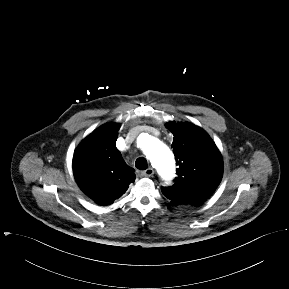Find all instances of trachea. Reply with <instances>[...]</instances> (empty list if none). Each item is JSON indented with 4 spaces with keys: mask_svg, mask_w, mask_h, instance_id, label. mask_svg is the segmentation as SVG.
<instances>
[{
    "mask_svg": "<svg viewBox=\"0 0 289 289\" xmlns=\"http://www.w3.org/2000/svg\"><path fill=\"white\" fill-rule=\"evenodd\" d=\"M136 168L145 170L148 167L147 160L144 157H139L135 162Z\"/></svg>",
    "mask_w": 289,
    "mask_h": 289,
    "instance_id": "3493384b",
    "label": "trachea"
}]
</instances>
